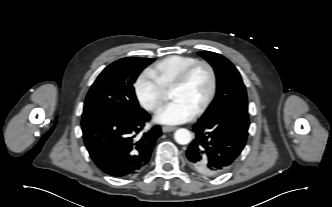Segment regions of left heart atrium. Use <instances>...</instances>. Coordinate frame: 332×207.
Segmentation results:
<instances>
[{"label": "left heart atrium", "mask_w": 332, "mask_h": 207, "mask_svg": "<svg viewBox=\"0 0 332 207\" xmlns=\"http://www.w3.org/2000/svg\"><path fill=\"white\" fill-rule=\"evenodd\" d=\"M195 115V110L179 99H174L161 108L155 121L160 124L177 125L189 121Z\"/></svg>", "instance_id": "39dd6f15"}]
</instances>
